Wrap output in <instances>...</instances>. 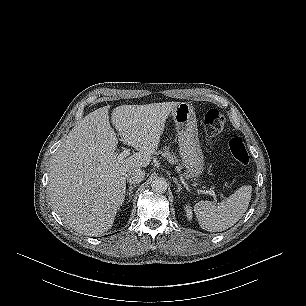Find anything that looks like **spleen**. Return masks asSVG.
Returning <instances> with one entry per match:
<instances>
[{"instance_id":"1","label":"spleen","mask_w":306,"mask_h":306,"mask_svg":"<svg viewBox=\"0 0 306 306\" xmlns=\"http://www.w3.org/2000/svg\"><path fill=\"white\" fill-rule=\"evenodd\" d=\"M252 186L244 185L220 203L200 201L195 204L194 212L202 229L210 232L224 231L246 212L251 200Z\"/></svg>"}]
</instances>
